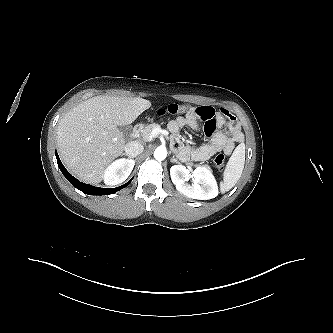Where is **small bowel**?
Wrapping results in <instances>:
<instances>
[{
	"instance_id": "c3829d8e",
	"label": "small bowel",
	"mask_w": 333,
	"mask_h": 333,
	"mask_svg": "<svg viewBox=\"0 0 333 333\" xmlns=\"http://www.w3.org/2000/svg\"><path fill=\"white\" fill-rule=\"evenodd\" d=\"M199 121H204V133L209 142L198 147L186 146L180 136L176 135L175 148L183 158L191 157L196 161H206L219 151L230 155L236 144L244 140L237 119L226 109L216 111L210 106L192 107L185 116H179L168 123L169 130L177 134L184 126L199 128Z\"/></svg>"
}]
</instances>
